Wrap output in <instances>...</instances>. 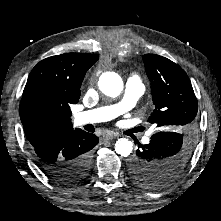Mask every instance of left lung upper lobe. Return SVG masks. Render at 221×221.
Returning a JSON list of instances; mask_svg holds the SVG:
<instances>
[{
	"mask_svg": "<svg viewBox=\"0 0 221 221\" xmlns=\"http://www.w3.org/2000/svg\"><path fill=\"white\" fill-rule=\"evenodd\" d=\"M143 61L155 105L148 121L174 135L162 144L156 161L147 168L158 171L144 172L141 181H137L145 187L159 188L178 178L192 156L198 128V101L189 77L180 66L155 54L144 55Z\"/></svg>",
	"mask_w": 221,
	"mask_h": 221,
	"instance_id": "5c2ea615",
	"label": "left lung upper lobe"
}]
</instances>
